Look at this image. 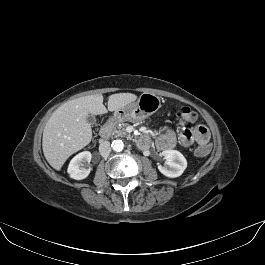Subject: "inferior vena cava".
I'll list each match as a JSON object with an SVG mask.
<instances>
[{
	"label": "inferior vena cava",
	"mask_w": 265,
	"mask_h": 265,
	"mask_svg": "<svg viewBox=\"0 0 265 265\" xmlns=\"http://www.w3.org/2000/svg\"><path fill=\"white\" fill-rule=\"evenodd\" d=\"M99 152L102 157H107L111 152L110 142L102 141L99 145Z\"/></svg>",
	"instance_id": "obj_1"
}]
</instances>
